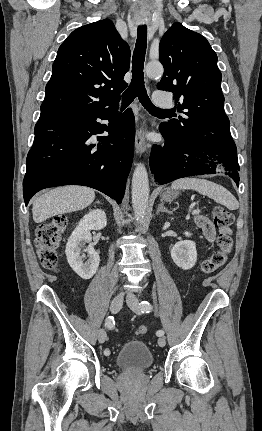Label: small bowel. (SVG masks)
<instances>
[{"label":"small bowel","instance_id":"c3829d8e","mask_svg":"<svg viewBox=\"0 0 262 431\" xmlns=\"http://www.w3.org/2000/svg\"><path fill=\"white\" fill-rule=\"evenodd\" d=\"M197 224L199 228L202 230L205 238L210 242L213 243L217 236V229L215 228L214 224L210 219L204 216H200L197 218ZM227 230H221V232H224Z\"/></svg>","mask_w":262,"mask_h":431}]
</instances>
